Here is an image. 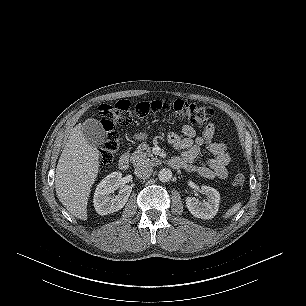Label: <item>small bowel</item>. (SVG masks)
Wrapping results in <instances>:
<instances>
[{
	"instance_id": "small-bowel-1",
	"label": "small bowel",
	"mask_w": 306,
	"mask_h": 306,
	"mask_svg": "<svg viewBox=\"0 0 306 306\" xmlns=\"http://www.w3.org/2000/svg\"><path fill=\"white\" fill-rule=\"evenodd\" d=\"M215 132L216 125L214 123L206 125L201 135L198 136L195 129L188 124L182 127L183 136L175 132H168L169 143L175 149L182 151L180 157H173L170 161L178 163L180 167L189 172L197 173L205 179H226L228 177L227 165L231 161V155L226 142L213 141ZM203 146L209 150L212 156L206 165L196 166L193 163Z\"/></svg>"
}]
</instances>
